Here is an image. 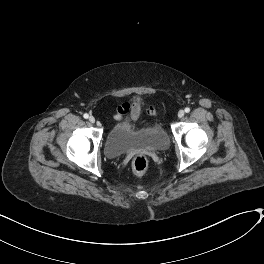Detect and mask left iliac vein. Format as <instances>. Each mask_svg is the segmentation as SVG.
<instances>
[{
	"label": "left iliac vein",
	"mask_w": 264,
	"mask_h": 264,
	"mask_svg": "<svg viewBox=\"0 0 264 264\" xmlns=\"http://www.w3.org/2000/svg\"><path fill=\"white\" fill-rule=\"evenodd\" d=\"M183 116H184V111H183V110H180V111L178 112V117L181 118V117H183Z\"/></svg>",
	"instance_id": "left-iliac-vein-1"
}]
</instances>
